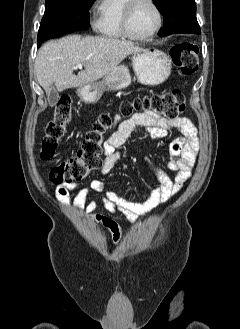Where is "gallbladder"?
I'll return each mask as SVG.
<instances>
[{
	"instance_id": "gallbladder-1",
	"label": "gallbladder",
	"mask_w": 240,
	"mask_h": 329,
	"mask_svg": "<svg viewBox=\"0 0 240 329\" xmlns=\"http://www.w3.org/2000/svg\"><path fill=\"white\" fill-rule=\"evenodd\" d=\"M58 93L57 91L55 90L54 86H51V91H50V94H49V103L51 106H54L57 101H58Z\"/></svg>"
}]
</instances>
